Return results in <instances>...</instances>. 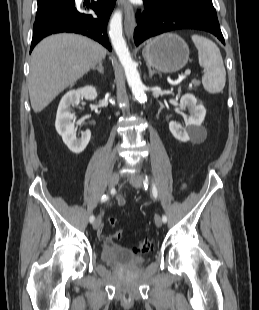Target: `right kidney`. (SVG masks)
<instances>
[{
	"mask_svg": "<svg viewBox=\"0 0 259 310\" xmlns=\"http://www.w3.org/2000/svg\"><path fill=\"white\" fill-rule=\"evenodd\" d=\"M81 97L94 100L97 97V91L93 86H86L67 92L59 103L55 121L56 131L69 150L75 154L83 152L91 138L90 130L83 132L80 138L76 136L75 115L71 113V108L79 104Z\"/></svg>",
	"mask_w": 259,
	"mask_h": 310,
	"instance_id": "ca27d5eb",
	"label": "right kidney"
}]
</instances>
